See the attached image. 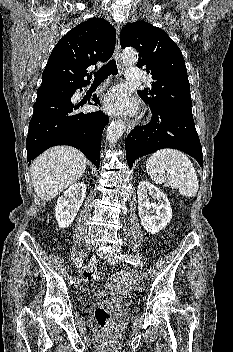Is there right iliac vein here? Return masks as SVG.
<instances>
[{"label": "right iliac vein", "mask_w": 233, "mask_h": 352, "mask_svg": "<svg viewBox=\"0 0 233 352\" xmlns=\"http://www.w3.org/2000/svg\"><path fill=\"white\" fill-rule=\"evenodd\" d=\"M91 252V248L90 247H85L81 250V253L80 255L82 257H87ZM80 284V280L77 278L76 281H75V286H78Z\"/></svg>", "instance_id": "obj_1"}]
</instances>
